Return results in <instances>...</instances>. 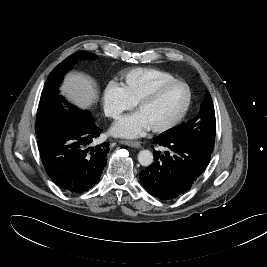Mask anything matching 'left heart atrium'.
I'll return each mask as SVG.
<instances>
[{
    "mask_svg": "<svg viewBox=\"0 0 267 267\" xmlns=\"http://www.w3.org/2000/svg\"><path fill=\"white\" fill-rule=\"evenodd\" d=\"M150 129L148 122L138 111L119 118L112 127L115 135L127 138H135Z\"/></svg>",
    "mask_w": 267,
    "mask_h": 267,
    "instance_id": "obj_1",
    "label": "left heart atrium"
}]
</instances>
